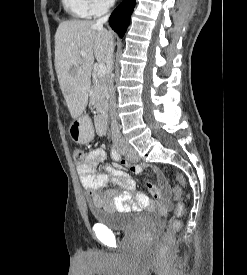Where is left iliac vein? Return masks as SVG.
Segmentation results:
<instances>
[{
    "label": "left iliac vein",
    "instance_id": "obj_1",
    "mask_svg": "<svg viewBox=\"0 0 247 275\" xmlns=\"http://www.w3.org/2000/svg\"><path fill=\"white\" fill-rule=\"evenodd\" d=\"M121 151L130 162L138 161V155L136 151L127 143H123Z\"/></svg>",
    "mask_w": 247,
    "mask_h": 275
}]
</instances>
